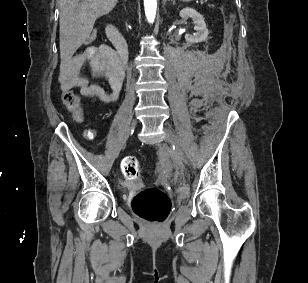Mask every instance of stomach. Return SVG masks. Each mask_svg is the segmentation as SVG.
<instances>
[{
    "mask_svg": "<svg viewBox=\"0 0 308 283\" xmlns=\"http://www.w3.org/2000/svg\"><path fill=\"white\" fill-rule=\"evenodd\" d=\"M182 1H184V2H189V1H191V0H182Z\"/></svg>",
    "mask_w": 308,
    "mask_h": 283,
    "instance_id": "obj_1",
    "label": "stomach"
}]
</instances>
